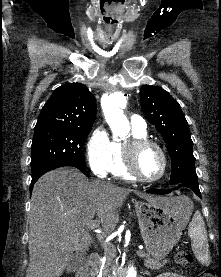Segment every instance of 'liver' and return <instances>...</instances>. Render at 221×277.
<instances>
[{
	"mask_svg": "<svg viewBox=\"0 0 221 277\" xmlns=\"http://www.w3.org/2000/svg\"><path fill=\"white\" fill-rule=\"evenodd\" d=\"M131 192L148 202L167 204L166 197L99 180L90 182L72 167L44 174L32 192L26 277H60L74 252L89 249L93 218L98 217L105 233L113 232Z\"/></svg>",
	"mask_w": 221,
	"mask_h": 277,
	"instance_id": "6515ba94",
	"label": "liver"
}]
</instances>
